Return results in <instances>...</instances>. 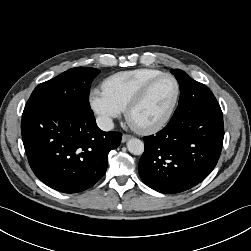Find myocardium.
<instances>
[{"label":"myocardium","mask_w":251,"mask_h":251,"mask_svg":"<svg viewBox=\"0 0 251 251\" xmlns=\"http://www.w3.org/2000/svg\"><path fill=\"white\" fill-rule=\"evenodd\" d=\"M163 78H171L175 83V95H174L173 101H172L169 109L167 110V112L164 114V116L162 118H160L159 120H157L155 122L147 123V124H139V123L135 122L133 119L134 111L143 103V101L145 100V98L148 95L151 88L159 80H161ZM180 93H181L180 83H179L178 79L173 74L162 73V74L152 78L138 91V93L133 97V99L128 104V106L126 108L127 121L134 129H136L140 132H143V133H152V132H156V131L162 129L171 120V118L176 110V107H177V104L179 101V97H180Z\"/></svg>","instance_id":"f54148a6"}]
</instances>
